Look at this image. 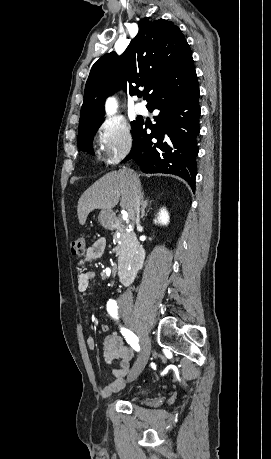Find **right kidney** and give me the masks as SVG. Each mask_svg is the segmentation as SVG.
Instances as JSON below:
<instances>
[{
    "label": "right kidney",
    "instance_id": "ca27d5eb",
    "mask_svg": "<svg viewBox=\"0 0 271 459\" xmlns=\"http://www.w3.org/2000/svg\"><path fill=\"white\" fill-rule=\"evenodd\" d=\"M169 214L165 208H162L158 214L157 220H154V224H162V226H167L169 222Z\"/></svg>",
    "mask_w": 271,
    "mask_h": 459
}]
</instances>
